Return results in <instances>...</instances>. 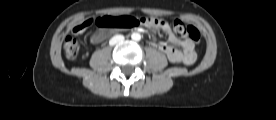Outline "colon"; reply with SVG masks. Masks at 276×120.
Here are the masks:
<instances>
[{"mask_svg": "<svg viewBox=\"0 0 276 120\" xmlns=\"http://www.w3.org/2000/svg\"><path fill=\"white\" fill-rule=\"evenodd\" d=\"M161 19L152 17H142L136 19L131 16H102L96 19L95 23L102 29H128L135 27L140 23L153 24L159 23ZM93 21L86 20L77 26L78 31H84ZM174 33L178 37H186L194 43H199L200 33L193 27L185 25L183 22L176 20L173 23ZM64 53L67 58L75 59L79 53V43L76 38L68 37L64 42Z\"/></svg>", "mask_w": 276, "mask_h": 120, "instance_id": "obj_1", "label": "colon"}]
</instances>
